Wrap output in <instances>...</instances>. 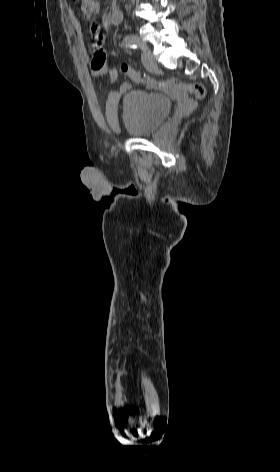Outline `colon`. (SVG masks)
<instances>
[{"mask_svg":"<svg viewBox=\"0 0 280 472\" xmlns=\"http://www.w3.org/2000/svg\"><path fill=\"white\" fill-rule=\"evenodd\" d=\"M79 3L82 15L87 20H93L98 13V3L96 0H74ZM121 71L135 83H142L148 87L173 94L177 91H185L192 94L196 99L205 96V87L200 83H184L179 80H157L141 75L127 64H122Z\"/></svg>","mask_w":280,"mask_h":472,"instance_id":"obj_1","label":"colon"}]
</instances>
